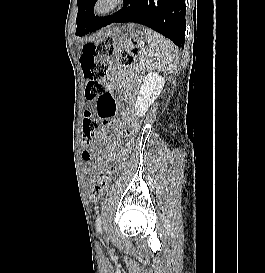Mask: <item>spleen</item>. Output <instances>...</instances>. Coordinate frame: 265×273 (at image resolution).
I'll return each instance as SVG.
<instances>
[{
	"instance_id": "spleen-1",
	"label": "spleen",
	"mask_w": 265,
	"mask_h": 273,
	"mask_svg": "<svg viewBox=\"0 0 265 273\" xmlns=\"http://www.w3.org/2000/svg\"><path fill=\"white\" fill-rule=\"evenodd\" d=\"M143 32L147 38L149 50L156 59L155 69L165 74L174 70L178 63V55L173 43L151 29L143 28Z\"/></svg>"
}]
</instances>
